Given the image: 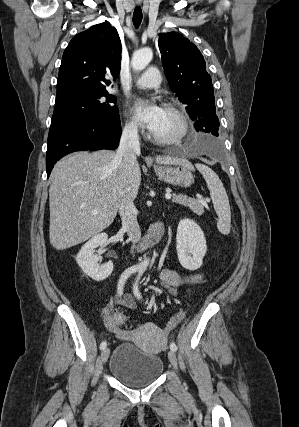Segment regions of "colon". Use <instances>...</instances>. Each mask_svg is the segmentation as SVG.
I'll list each match as a JSON object with an SVG mask.
<instances>
[{
  "mask_svg": "<svg viewBox=\"0 0 299 427\" xmlns=\"http://www.w3.org/2000/svg\"><path fill=\"white\" fill-rule=\"evenodd\" d=\"M114 322L121 330V326L126 322V316L123 313H119L114 317Z\"/></svg>",
  "mask_w": 299,
  "mask_h": 427,
  "instance_id": "5ec220e1",
  "label": "colon"
}]
</instances>
